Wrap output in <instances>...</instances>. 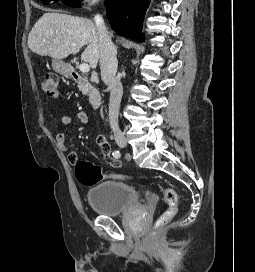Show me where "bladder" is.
I'll list each match as a JSON object with an SVG mask.
<instances>
[{
  "mask_svg": "<svg viewBox=\"0 0 255 272\" xmlns=\"http://www.w3.org/2000/svg\"><path fill=\"white\" fill-rule=\"evenodd\" d=\"M90 207L101 216H120L139 203L137 190L120 181H105L86 193Z\"/></svg>",
  "mask_w": 255,
  "mask_h": 272,
  "instance_id": "31cf9c89",
  "label": "bladder"
}]
</instances>
